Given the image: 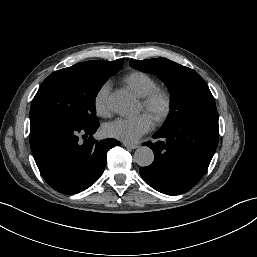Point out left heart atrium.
Returning a JSON list of instances; mask_svg holds the SVG:
<instances>
[{"label": "left heart atrium", "mask_w": 257, "mask_h": 257, "mask_svg": "<svg viewBox=\"0 0 257 257\" xmlns=\"http://www.w3.org/2000/svg\"><path fill=\"white\" fill-rule=\"evenodd\" d=\"M154 128L153 117L143 113L134 118H117L104 126L106 136L124 143H135Z\"/></svg>", "instance_id": "39dd6f15"}]
</instances>
